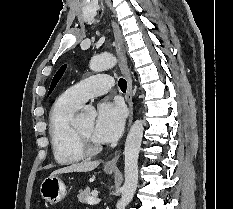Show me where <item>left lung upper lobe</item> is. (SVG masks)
Instances as JSON below:
<instances>
[{
	"label": "left lung upper lobe",
	"instance_id": "obj_1",
	"mask_svg": "<svg viewBox=\"0 0 233 209\" xmlns=\"http://www.w3.org/2000/svg\"><path fill=\"white\" fill-rule=\"evenodd\" d=\"M66 70V65H63L55 74L52 82H51V86L49 89V94L52 92V90L54 89V87L56 86V84L58 83V81L60 80V78L62 77L64 71Z\"/></svg>",
	"mask_w": 233,
	"mask_h": 209
}]
</instances>
